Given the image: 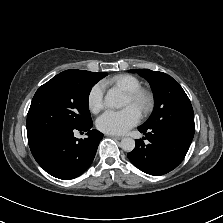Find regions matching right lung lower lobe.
I'll list each match as a JSON object with an SVG mask.
<instances>
[{
    "instance_id": "obj_1",
    "label": "right lung lower lobe",
    "mask_w": 223,
    "mask_h": 223,
    "mask_svg": "<svg viewBox=\"0 0 223 223\" xmlns=\"http://www.w3.org/2000/svg\"><path fill=\"white\" fill-rule=\"evenodd\" d=\"M93 123L83 127L55 128L28 135V143L37 163L50 175L59 179H73L92 163L103 134L92 129ZM87 132V138L76 139L74 131Z\"/></svg>"
}]
</instances>
